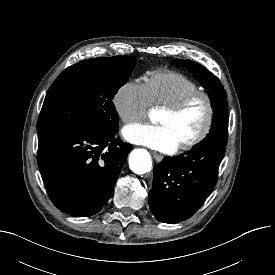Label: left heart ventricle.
Here are the masks:
<instances>
[{
    "mask_svg": "<svg viewBox=\"0 0 275 275\" xmlns=\"http://www.w3.org/2000/svg\"><path fill=\"white\" fill-rule=\"evenodd\" d=\"M207 108L204 99L192 101L181 113L170 114L160 111L156 117L159 124L166 125L181 144L196 136L206 121Z\"/></svg>",
    "mask_w": 275,
    "mask_h": 275,
    "instance_id": "b2bd125f",
    "label": "left heart ventricle"
}]
</instances>
